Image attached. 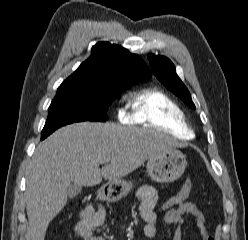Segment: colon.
<instances>
[{
	"instance_id": "1",
	"label": "colon",
	"mask_w": 248,
	"mask_h": 240,
	"mask_svg": "<svg viewBox=\"0 0 248 240\" xmlns=\"http://www.w3.org/2000/svg\"><path fill=\"white\" fill-rule=\"evenodd\" d=\"M191 186V181L187 180L175 195L171 196L163 203L162 210L168 211L185 203L186 199L189 197Z\"/></svg>"
}]
</instances>
